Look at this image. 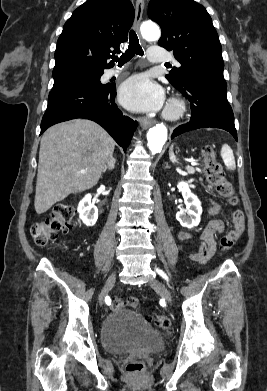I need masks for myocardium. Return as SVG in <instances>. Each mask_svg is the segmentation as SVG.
<instances>
[{
  "mask_svg": "<svg viewBox=\"0 0 267 391\" xmlns=\"http://www.w3.org/2000/svg\"><path fill=\"white\" fill-rule=\"evenodd\" d=\"M185 111V103L181 99L172 98L165 108L164 117L171 121L178 120L183 117Z\"/></svg>",
  "mask_w": 267,
  "mask_h": 391,
  "instance_id": "obj_1",
  "label": "myocardium"
}]
</instances>
